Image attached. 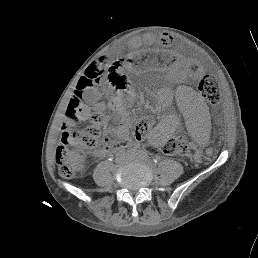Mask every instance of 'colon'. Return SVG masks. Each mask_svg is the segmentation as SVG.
I'll return each instance as SVG.
<instances>
[{
  "instance_id": "5ec220e1",
  "label": "colon",
  "mask_w": 258,
  "mask_h": 258,
  "mask_svg": "<svg viewBox=\"0 0 258 258\" xmlns=\"http://www.w3.org/2000/svg\"><path fill=\"white\" fill-rule=\"evenodd\" d=\"M161 43L168 45L170 39L162 37ZM120 62L107 64L104 61L92 63L86 70L85 75L79 80L76 97L69 103L67 109L68 123L63 128V141L57 148L55 158L59 173L64 178H72L84 167L87 152L98 148L101 144L109 147L119 146L123 138L121 132L111 133L108 142L101 141L99 124L101 116L98 113L90 115V125H79V112L85 104L82 101L83 94L94 98L93 91L97 97L102 94V80L105 72L110 83L116 89H125L128 86L127 77L122 70ZM201 95L210 103L217 104L220 101V90L218 80L212 75L203 76L198 85ZM88 110V109H87ZM89 111V110H88ZM154 120L150 117H140L135 123V134L147 135ZM162 150L167 155L184 156L188 153L186 140L182 136H173L163 145Z\"/></svg>"
}]
</instances>
